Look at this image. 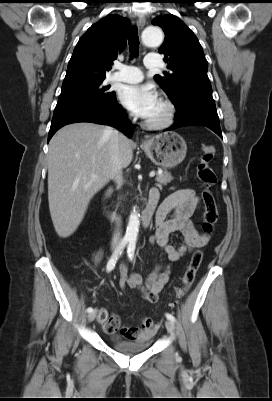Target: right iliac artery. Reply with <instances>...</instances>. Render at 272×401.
<instances>
[{
	"label": "right iliac artery",
	"mask_w": 272,
	"mask_h": 401,
	"mask_svg": "<svg viewBox=\"0 0 272 401\" xmlns=\"http://www.w3.org/2000/svg\"><path fill=\"white\" fill-rule=\"evenodd\" d=\"M129 242V239H123L121 241V243L119 244L117 250L115 251V253L112 255V257L109 259L108 263H107V267H106V271L110 272L114 269L116 262L118 260V256L119 254H121V251L124 249V247L127 245V243ZM88 313L93 312V308L89 307L87 309Z\"/></svg>",
	"instance_id": "right-iliac-artery-1"
}]
</instances>
